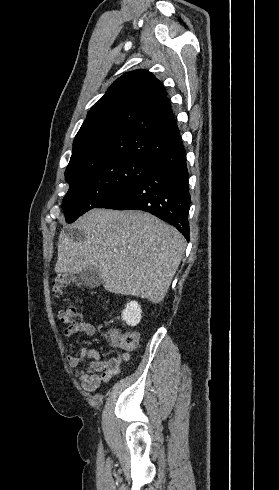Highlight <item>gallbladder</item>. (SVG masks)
Listing matches in <instances>:
<instances>
[{"label":"gallbladder","instance_id":"bac80fb5","mask_svg":"<svg viewBox=\"0 0 279 490\" xmlns=\"http://www.w3.org/2000/svg\"><path fill=\"white\" fill-rule=\"evenodd\" d=\"M81 286H86V288H98L101 284V276L98 268L92 266V268H86L78 274V280Z\"/></svg>","mask_w":279,"mask_h":490}]
</instances>
